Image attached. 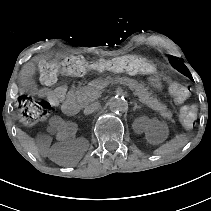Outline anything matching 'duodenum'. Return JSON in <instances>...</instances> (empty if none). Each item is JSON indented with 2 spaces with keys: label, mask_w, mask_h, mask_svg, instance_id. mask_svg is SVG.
<instances>
[{
  "label": "duodenum",
  "mask_w": 211,
  "mask_h": 211,
  "mask_svg": "<svg viewBox=\"0 0 211 211\" xmlns=\"http://www.w3.org/2000/svg\"><path fill=\"white\" fill-rule=\"evenodd\" d=\"M62 111L69 116L75 115L78 111L76 102L72 99H67L62 103Z\"/></svg>",
  "instance_id": "obj_1"
}]
</instances>
